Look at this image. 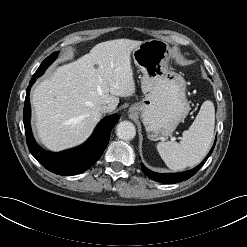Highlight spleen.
Instances as JSON below:
<instances>
[{
	"label": "spleen",
	"instance_id": "obj_1",
	"mask_svg": "<svg viewBox=\"0 0 247 247\" xmlns=\"http://www.w3.org/2000/svg\"><path fill=\"white\" fill-rule=\"evenodd\" d=\"M215 126V109L205 101L194 122L182 133L179 143L161 141L156 147L165 164L174 171L200 163L210 149Z\"/></svg>",
	"mask_w": 247,
	"mask_h": 247
}]
</instances>
